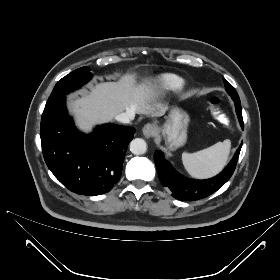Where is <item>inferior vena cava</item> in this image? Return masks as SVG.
I'll use <instances>...</instances> for the list:
<instances>
[{
	"label": "inferior vena cava",
	"mask_w": 280,
	"mask_h": 280,
	"mask_svg": "<svg viewBox=\"0 0 280 280\" xmlns=\"http://www.w3.org/2000/svg\"><path fill=\"white\" fill-rule=\"evenodd\" d=\"M135 118V113L133 111H127L118 114L115 119L122 123H130Z\"/></svg>",
	"instance_id": "inferior-vena-cava-1"
}]
</instances>
